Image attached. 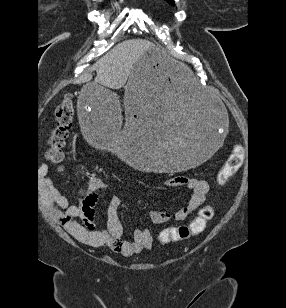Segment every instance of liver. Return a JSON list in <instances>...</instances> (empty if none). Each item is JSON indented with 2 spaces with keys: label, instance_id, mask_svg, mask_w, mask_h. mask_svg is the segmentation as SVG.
<instances>
[{
  "label": "liver",
  "instance_id": "1",
  "mask_svg": "<svg viewBox=\"0 0 286 308\" xmlns=\"http://www.w3.org/2000/svg\"><path fill=\"white\" fill-rule=\"evenodd\" d=\"M148 50L157 51L155 45L147 40L123 41L100 58L76 82L84 83L92 80V71L95 70L96 83L110 89H120L127 82L135 63Z\"/></svg>",
  "mask_w": 286,
  "mask_h": 308
}]
</instances>
